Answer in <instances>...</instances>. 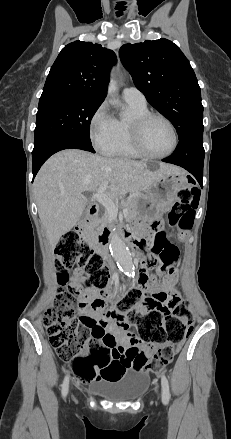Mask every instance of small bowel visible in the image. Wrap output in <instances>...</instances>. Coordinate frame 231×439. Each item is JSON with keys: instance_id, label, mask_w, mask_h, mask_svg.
<instances>
[{"instance_id": "c3829d8e", "label": "small bowel", "mask_w": 231, "mask_h": 439, "mask_svg": "<svg viewBox=\"0 0 231 439\" xmlns=\"http://www.w3.org/2000/svg\"><path fill=\"white\" fill-rule=\"evenodd\" d=\"M131 237L134 240L136 239L132 233ZM137 243L139 247L143 246L141 241ZM150 248L151 252L148 257L143 256L142 258V264L145 267L150 264L149 259L153 255H158L160 252L176 247L167 239L163 231H158L152 236ZM165 275L159 284L152 280L155 285V290H145V298L141 308L142 312L154 308L169 310L180 300V294L175 288L177 276L174 265L171 266L169 273ZM82 281V275L76 273L69 289L76 292L78 297L85 304L81 312V317L90 324L89 326L92 333L91 345L103 344L111 348L115 353L121 354L120 358L122 360L129 361L130 365L127 369L133 368L130 353L145 352L146 347L141 344L134 333L129 331L130 326L114 311L109 309L106 303H102L99 306H91L92 302L96 299V295L83 291L81 287ZM112 296L116 297L117 293H113ZM116 331L119 332V335H116Z\"/></svg>"}]
</instances>
